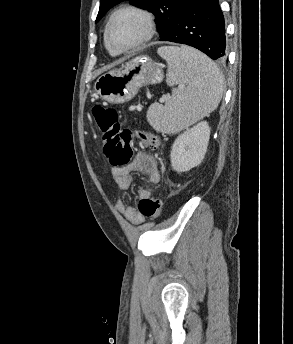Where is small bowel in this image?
Listing matches in <instances>:
<instances>
[{
  "mask_svg": "<svg viewBox=\"0 0 293 344\" xmlns=\"http://www.w3.org/2000/svg\"><path fill=\"white\" fill-rule=\"evenodd\" d=\"M141 172L148 176L153 184H159L161 181V173L158 168L156 160L148 153L140 151L136 154L134 160L121 168H115L112 171L113 178L121 191H127L132 185V173ZM140 200L150 197V192L145 189H140ZM117 210L133 224H141L145 216L139 210L123 200H120L116 205Z\"/></svg>",
  "mask_w": 293,
  "mask_h": 344,
  "instance_id": "1",
  "label": "small bowel"
}]
</instances>
